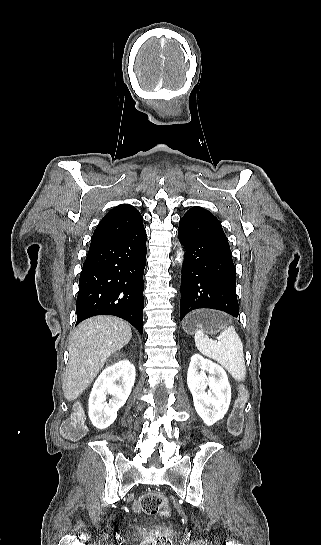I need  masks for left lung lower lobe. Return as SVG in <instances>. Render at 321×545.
<instances>
[{
    "label": "left lung lower lobe",
    "mask_w": 321,
    "mask_h": 545,
    "mask_svg": "<svg viewBox=\"0 0 321 545\" xmlns=\"http://www.w3.org/2000/svg\"><path fill=\"white\" fill-rule=\"evenodd\" d=\"M178 235L185 249L180 320L198 308L238 317L236 270L219 220L202 207H192L180 219Z\"/></svg>",
    "instance_id": "left-lung-lower-lobe-1"
}]
</instances>
